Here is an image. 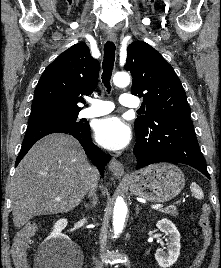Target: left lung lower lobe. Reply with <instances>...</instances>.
I'll return each mask as SVG.
<instances>
[{"label": "left lung lower lobe", "mask_w": 221, "mask_h": 268, "mask_svg": "<svg viewBox=\"0 0 221 268\" xmlns=\"http://www.w3.org/2000/svg\"><path fill=\"white\" fill-rule=\"evenodd\" d=\"M136 132V169L159 162L190 165L210 178L190 117L161 115Z\"/></svg>", "instance_id": "0a47b994"}]
</instances>
